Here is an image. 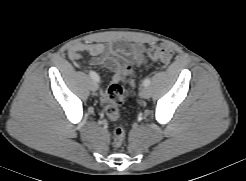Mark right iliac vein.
I'll use <instances>...</instances> for the list:
<instances>
[{
	"instance_id": "right-iliac-vein-1",
	"label": "right iliac vein",
	"mask_w": 246,
	"mask_h": 181,
	"mask_svg": "<svg viewBox=\"0 0 246 181\" xmlns=\"http://www.w3.org/2000/svg\"><path fill=\"white\" fill-rule=\"evenodd\" d=\"M90 88H91V91H92L93 93H96V91H97V89H98L97 83H96L95 81H92V82H91V85H90Z\"/></svg>"
}]
</instances>
